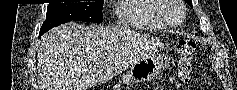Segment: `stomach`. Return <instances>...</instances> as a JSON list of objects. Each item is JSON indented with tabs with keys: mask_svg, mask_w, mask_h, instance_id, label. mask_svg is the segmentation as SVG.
<instances>
[{
	"mask_svg": "<svg viewBox=\"0 0 237 90\" xmlns=\"http://www.w3.org/2000/svg\"><path fill=\"white\" fill-rule=\"evenodd\" d=\"M168 66V59L164 56H158L142 60L123 74L122 81L131 85L134 82L149 81L164 71Z\"/></svg>",
	"mask_w": 237,
	"mask_h": 90,
	"instance_id": "1",
	"label": "stomach"
}]
</instances>
